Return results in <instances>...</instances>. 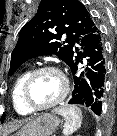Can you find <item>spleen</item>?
Segmentation results:
<instances>
[{
    "label": "spleen",
    "mask_w": 117,
    "mask_h": 136,
    "mask_svg": "<svg viewBox=\"0 0 117 136\" xmlns=\"http://www.w3.org/2000/svg\"><path fill=\"white\" fill-rule=\"evenodd\" d=\"M54 112L61 115L64 120L63 134L70 136L82 124V111L75 105H63L54 109Z\"/></svg>",
    "instance_id": "obj_1"
}]
</instances>
